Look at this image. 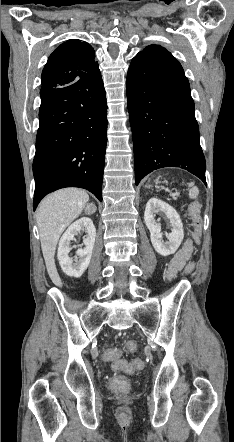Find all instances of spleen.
<instances>
[{
  "instance_id": "spleen-1",
  "label": "spleen",
  "mask_w": 234,
  "mask_h": 442,
  "mask_svg": "<svg viewBox=\"0 0 234 442\" xmlns=\"http://www.w3.org/2000/svg\"><path fill=\"white\" fill-rule=\"evenodd\" d=\"M188 186H189V188H190V189H189V197H190L191 199H196L197 196H198V193H199L198 188H197V187H194L192 183H189Z\"/></svg>"
}]
</instances>
